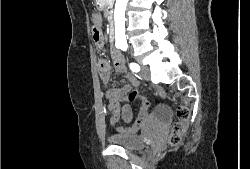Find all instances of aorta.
I'll list each match as a JSON object with an SVG mask.
<instances>
[{"label": "aorta", "instance_id": "aorta-1", "mask_svg": "<svg viewBox=\"0 0 250 169\" xmlns=\"http://www.w3.org/2000/svg\"><path fill=\"white\" fill-rule=\"evenodd\" d=\"M128 0H116L114 8L115 36L119 42L126 40L125 36V10Z\"/></svg>", "mask_w": 250, "mask_h": 169}]
</instances>
